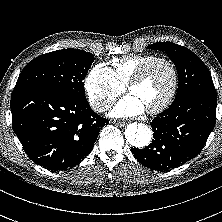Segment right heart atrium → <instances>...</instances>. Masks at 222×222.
Returning <instances> with one entry per match:
<instances>
[{"label":"right heart atrium","instance_id":"obj_1","mask_svg":"<svg viewBox=\"0 0 222 222\" xmlns=\"http://www.w3.org/2000/svg\"><path fill=\"white\" fill-rule=\"evenodd\" d=\"M84 87L90 105L97 112L106 111L125 89L112 70L102 63L90 69Z\"/></svg>","mask_w":222,"mask_h":222}]
</instances>
